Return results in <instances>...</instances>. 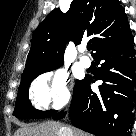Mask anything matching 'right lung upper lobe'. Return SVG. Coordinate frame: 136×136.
<instances>
[{"instance_id":"obj_1","label":"right lung upper lobe","mask_w":136,"mask_h":136,"mask_svg":"<svg viewBox=\"0 0 136 136\" xmlns=\"http://www.w3.org/2000/svg\"><path fill=\"white\" fill-rule=\"evenodd\" d=\"M130 34L125 10L118 0H73L67 13L53 10L35 30L22 78L63 65L70 40L77 45L90 37L97 53Z\"/></svg>"}]
</instances>
